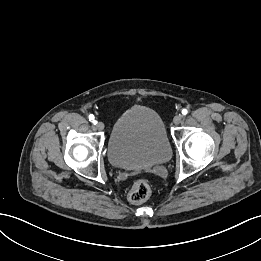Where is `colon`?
<instances>
[{"label":"colon","mask_w":261,"mask_h":261,"mask_svg":"<svg viewBox=\"0 0 261 261\" xmlns=\"http://www.w3.org/2000/svg\"><path fill=\"white\" fill-rule=\"evenodd\" d=\"M151 194V187L146 179H137L129 189L128 199L132 203H142L146 201Z\"/></svg>","instance_id":"obj_1"}]
</instances>
